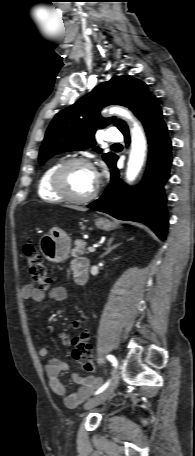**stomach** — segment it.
<instances>
[{"label": "stomach", "mask_w": 195, "mask_h": 456, "mask_svg": "<svg viewBox=\"0 0 195 456\" xmlns=\"http://www.w3.org/2000/svg\"><path fill=\"white\" fill-rule=\"evenodd\" d=\"M95 225L105 231L113 230L116 227L115 223L105 218H97ZM40 244L43 256L49 261L61 262L69 257L71 239L65 231L58 227L50 229L47 237L43 238Z\"/></svg>", "instance_id": "1"}]
</instances>
